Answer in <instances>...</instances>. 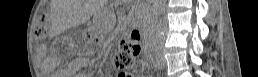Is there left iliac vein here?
I'll list each match as a JSON object with an SVG mask.
<instances>
[{
    "mask_svg": "<svg viewBox=\"0 0 258 77\" xmlns=\"http://www.w3.org/2000/svg\"><path fill=\"white\" fill-rule=\"evenodd\" d=\"M156 58H157V63L161 68L166 67V60L164 59L161 53L157 54Z\"/></svg>",
    "mask_w": 258,
    "mask_h": 77,
    "instance_id": "left-iliac-vein-1",
    "label": "left iliac vein"
}]
</instances>
